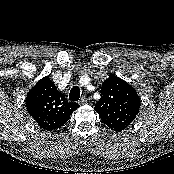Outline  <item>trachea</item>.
<instances>
[{
  "instance_id": "trachea-1",
  "label": "trachea",
  "mask_w": 174,
  "mask_h": 174,
  "mask_svg": "<svg viewBox=\"0 0 174 174\" xmlns=\"http://www.w3.org/2000/svg\"><path fill=\"white\" fill-rule=\"evenodd\" d=\"M80 98V88L78 86L72 87L69 93V99L71 101H78Z\"/></svg>"
}]
</instances>
